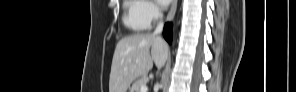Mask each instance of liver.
<instances>
[{
  "instance_id": "1",
  "label": "liver",
  "mask_w": 296,
  "mask_h": 92,
  "mask_svg": "<svg viewBox=\"0 0 296 92\" xmlns=\"http://www.w3.org/2000/svg\"><path fill=\"white\" fill-rule=\"evenodd\" d=\"M168 51L167 43L156 35L138 33L122 38L113 55L109 92H127L131 83L146 75L153 63L161 69Z\"/></svg>"
}]
</instances>
